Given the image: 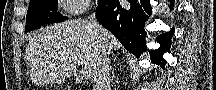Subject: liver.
Segmentation results:
<instances>
[{
	"instance_id": "obj_1",
	"label": "liver",
	"mask_w": 216,
	"mask_h": 90,
	"mask_svg": "<svg viewBox=\"0 0 216 90\" xmlns=\"http://www.w3.org/2000/svg\"><path fill=\"white\" fill-rule=\"evenodd\" d=\"M117 38L93 20H68L33 34L26 58L43 72L45 82L57 84L75 74L78 60L82 72L91 76L103 50H120Z\"/></svg>"
}]
</instances>
